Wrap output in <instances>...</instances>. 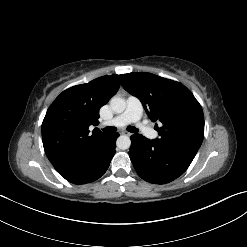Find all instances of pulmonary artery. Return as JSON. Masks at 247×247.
Here are the masks:
<instances>
[{
  "mask_svg": "<svg viewBox=\"0 0 247 247\" xmlns=\"http://www.w3.org/2000/svg\"><path fill=\"white\" fill-rule=\"evenodd\" d=\"M142 114L143 106L140 100L135 96H129L126 101V109L124 112L109 121L107 125L125 126L134 123L146 137L153 139L157 136V133L153 128L140 122Z\"/></svg>",
  "mask_w": 247,
  "mask_h": 247,
  "instance_id": "pulmonary-artery-1",
  "label": "pulmonary artery"
}]
</instances>
